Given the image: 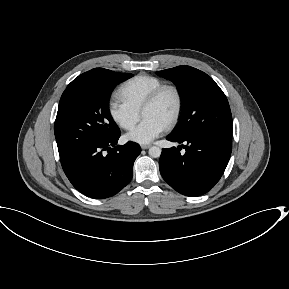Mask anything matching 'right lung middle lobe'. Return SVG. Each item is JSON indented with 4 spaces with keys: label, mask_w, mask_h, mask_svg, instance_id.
Wrapping results in <instances>:
<instances>
[{
    "label": "right lung middle lobe",
    "mask_w": 289,
    "mask_h": 289,
    "mask_svg": "<svg viewBox=\"0 0 289 289\" xmlns=\"http://www.w3.org/2000/svg\"><path fill=\"white\" fill-rule=\"evenodd\" d=\"M131 76L114 72L99 82L68 85L61 96L54 124L61 158L120 132L110 116L108 96L115 85Z\"/></svg>",
    "instance_id": "right-lung-middle-lobe-1"
}]
</instances>
